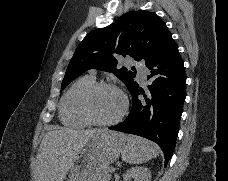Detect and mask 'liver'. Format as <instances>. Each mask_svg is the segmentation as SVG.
Segmentation results:
<instances>
[{
    "instance_id": "6515ba94",
    "label": "liver",
    "mask_w": 228,
    "mask_h": 181,
    "mask_svg": "<svg viewBox=\"0 0 228 181\" xmlns=\"http://www.w3.org/2000/svg\"><path fill=\"white\" fill-rule=\"evenodd\" d=\"M92 131H73V129H50L44 135L36 159L35 171L37 181H63L71 169L74 157L84 143L89 141Z\"/></svg>"
}]
</instances>
